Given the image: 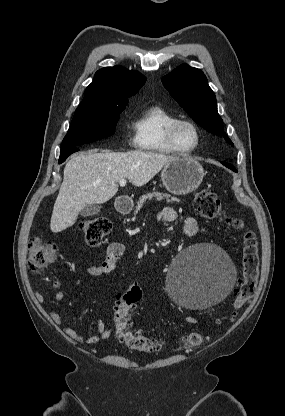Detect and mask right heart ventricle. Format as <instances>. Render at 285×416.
I'll return each instance as SVG.
<instances>
[{
	"mask_svg": "<svg viewBox=\"0 0 285 416\" xmlns=\"http://www.w3.org/2000/svg\"><path fill=\"white\" fill-rule=\"evenodd\" d=\"M176 118L171 111L160 104L146 107L134 121L136 147L153 154L173 153L166 140V130Z\"/></svg>",
	"mask_w": 285,
	"mask_h": 416,
	"instance_id": "1",
	"label": "right heart ventricle"
}]
</instances>
